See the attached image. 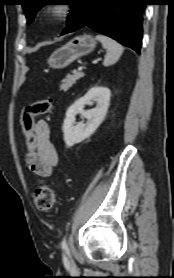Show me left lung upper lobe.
I'll list each match as a JSON object with an SVG mask.
<instances>
[{"mask_svg": "<svg viewBox=\"0 0 174 278\" xmlns=\"http://www.w3.org/2000/svg\"><path fill=\"white\" fill-rule=\"evenodd\" d=\"M83 0H69V5L72 6L73 10L68 14V23H70L75 17L77 11L79 10L81 3ZM45 0H24L22 4L23 10L26 14L27 24H30L35 17L36 12L45 4L43 3Z\"/></svg>", "mask_w": 174, "mask_h": 278, "instance_id": "5c2ea615", "label": "left lung upper lobe"}]
</instances>
